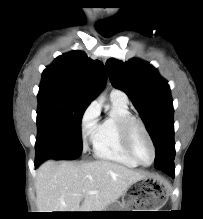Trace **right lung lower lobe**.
Segmentation results:
<instances>
[{"label": "right lung lower lobe", "instance_id": "obj_1", "mask_svg": "<svg viewBox=\"0 0 203 219\" xmlns=\"http://www.w3.org/2000/svg\"><path fill=\"white\" fill-rule=\"evenodd\" d=\"M42 162L40 160H37L35 161V167H38Z\"/></svg>", "mask_w": 203, "mask_h": 219}]
</instances>
